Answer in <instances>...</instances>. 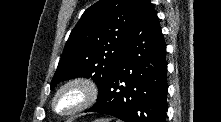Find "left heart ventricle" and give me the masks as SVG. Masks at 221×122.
Returning a JSON list of instances; mask_svg holds the SVG:
<instances>
[{
  "instance_id": "1",
  "label": "left heart ventricle",
  "mask_w": 221,
  "mask_h": 122,
  "mask_svg": "<svg viewBox=\"0 0 221 122\" xmlns=\"http://www.w3.org/2000/svg\"><path fill=\"white\" fill-rule=\"evenodd\" d=\"M81 100V94L78 90H69L66 91L64 94L57 101V108L61 111L70 110L76 107Z\"/></svg>"
}]
</instances>
